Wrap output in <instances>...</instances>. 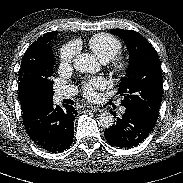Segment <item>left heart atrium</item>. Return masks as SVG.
<instances>
[{
	"label": "left heart atrium",
	"instance_id": "39dd6f15",
	"mask_svg": "<svg viewBox=\"0 0 183 183\" xmlns=\"http://www.w3.org/2000/svg\"><path fill=\"white\" fill-rule=\"evenodd\" d=\"M104 87V81L101 78H93L85 81L82 85V91L86 98L93 99L96 91Z\"/></svg>",
	"mask_w": 183,
	"mask_h": 183
}]
</instances>
